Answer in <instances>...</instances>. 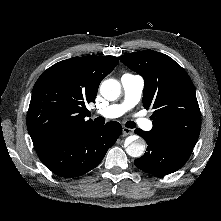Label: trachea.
Listing matches in <instances>:
<instances>
[{"mask_svg": "<svg viewBox=\"0 0 221 221\" xmlns=\"http://www.w3.org/2000/svg\"><path fill=\"white\" fill-rule=\"evenodd\" d=\"M95 121L99 122V118H96ZM125 126L128 128H135L136 124L133 121H128V122H126Z\"/></svg>", "mask_w": 221, "mask_h": 221, "instance_id": "1", "label": "trachea"}]
</instances>
